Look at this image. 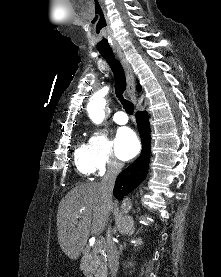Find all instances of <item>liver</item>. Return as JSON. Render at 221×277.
Masks as SVG:
<instances>
[{
    "instance_id": "1",
    "label": "liver",
    "mask_w": 221,
    "mask_h": 277,
    "mask_svg": "<svg viewBox=\"0 0 221 277\" xmlns=\"http://www.w3.org/2000/svg\"><path fill=\"white\" fill-rule=\"evenodd\" d=\"M113 208L103 196L100 183L91 182L76 186L59 203L57 235L62 251L76 260L91 233L103 232Z\"/></svg>"
}]
</instances>
